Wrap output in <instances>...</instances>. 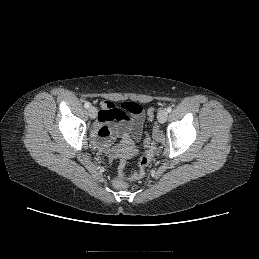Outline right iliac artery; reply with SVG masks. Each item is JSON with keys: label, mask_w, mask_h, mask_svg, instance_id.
Returning a JSON list of instances; mask_svg holds the SVG:
<instances>
[{"label": "right iliac artery", "mask_w": 259, "mask_h": 259, "mask_svg": "<svg viewBox=\"0 0 259 259\" xmlns=\"http://www.w3.org/2000/svg\"><path fill=\"white\" fill-rule=\"evenodd\" d=\"M90 105H91V104H90L89 102H85V104H84V106H85L86 109H88V108L90 107Z\"/></svg>", "instance_id": "obj_1"}]
</instances>
